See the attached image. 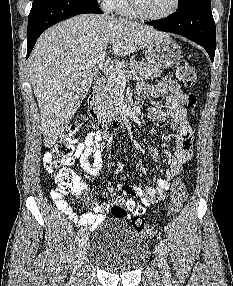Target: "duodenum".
Returning <instances> with one entry per match:
<instances>
[{
  "label": "duodenum",
  "mask_w": 233,
  "mask_h": 286,
  "mask_svg": "<svg viewBox=\"0 0 233 286\" xmlns=\"http://www.w3.org/2000/svg\"><path fill=\"white\" fill-rule=\"evenodd\" d=\"M104 79L97 81L92 93L88 98V115L91 125L99 130L104 131L106 134H113L124 128L126 125L129 113L127 111L120 112L114 118H105L99 111V94L104 87Z\"/></svg>",
  "instance_id": "1"
}]
</instances>
